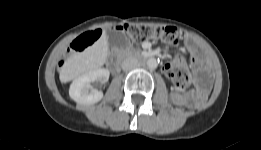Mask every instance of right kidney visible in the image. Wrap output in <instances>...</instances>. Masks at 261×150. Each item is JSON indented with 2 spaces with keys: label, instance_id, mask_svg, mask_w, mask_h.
<instances>
[{
  "label": "right kidney",
  "instance_id": "1",
  "mask_svg": "<svg viewBox=\"0 0 261 150\" xmlns=\"http://www.w3.org/2000/svg\"><path fill=\"white\" fill-rule=\"evenodd\" d=\"M109 75V70L104 68H99L82 74L70 85V97L75 102L85 105L99 102L103 98V92L93 89L91 84L98 80H102L105 83L108 81Z\"/></svg>",
  "mask_w": 261,
  "mask_h": 150
}]
</instances>
